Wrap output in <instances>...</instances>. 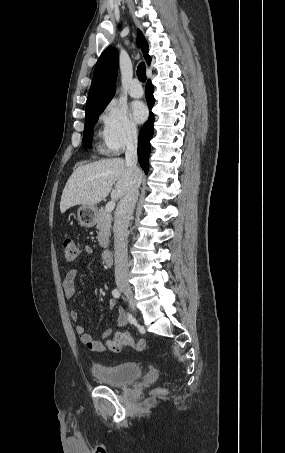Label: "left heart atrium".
Wrapping results in <instances>:
<instances>
[{
    "mask_svg": "<svg viewBox=\"0 0 285 453\" xmlns=\"http://www.w3.org/2000/svg\"><path fill=\"white\" fill-rule=\"evenodd\" d=\"M131 116L137 123L143 122L147 117V108L140 102L135 101L131 104Z\"/></svg>",
    "mask_w": 285,
    "mask_h": 453,
    "instance_id": "1",
    "label": "left heart atrium"
}]
</instances>
